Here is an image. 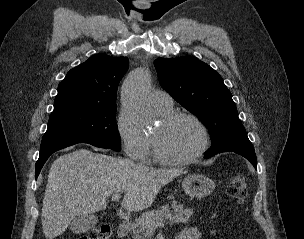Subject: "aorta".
<instances>
[{
	"label": "aorta",
	"mask_w": 304,
	"mask_h": 239,
	"mask_svg": "<svg viewBox=\"0 0 304 239\" xmlns=\"http://www.w3.org/2000/svg\"><path fill=\"white\" fill-rule=\"evenodd\" d=\"M150 77L143 69L136 70L124 81L121 90L122 104L132 111L137 122L146 124L151 118L148 102Z\"/></svg>",
	"instance_id": "762f6f07"
}]
</instances>
